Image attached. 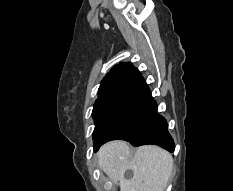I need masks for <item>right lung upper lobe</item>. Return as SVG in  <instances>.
<instances>
[{
  "label": "right lung upper lobe",
  "instance_id": "1",
  "mask_svg": "<svg viewBox=\"0 0 233 191\" xmlns=\"http://www.w3.org/2000/svg\"><path fill=\"white\" fill-rule=\"evenodd\" d=\"M140 77L141 73L131 63L115 65L102 80L95 102L126 94Z\"/></svg>",
  "mask_w": 233,
  "mask_h": 191
}]
</instances>
